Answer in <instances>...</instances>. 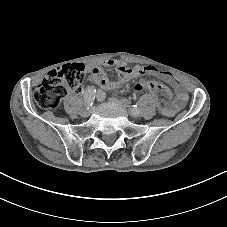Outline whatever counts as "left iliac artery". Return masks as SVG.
<instances>
[{
	"label": "left iliac artery",
	"instance_id": "left-iliac-artery-1",
	"mask_svg": "<svg viewBox=\"0 0 227 227\" xmlns=\"http://www.w3.org/2000/svg\"><path fill=\"white\" fill-rule=\"evenodd\" d=\"M131 112H132L133 115H137L138 116L139 113H140V110H139L137 105H132L131 106Z\"/></svg>",
	"mask_w": 227,
	"mask_h": 227
}]
</instances>
